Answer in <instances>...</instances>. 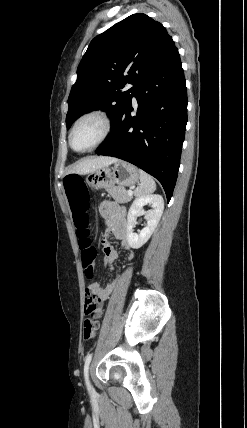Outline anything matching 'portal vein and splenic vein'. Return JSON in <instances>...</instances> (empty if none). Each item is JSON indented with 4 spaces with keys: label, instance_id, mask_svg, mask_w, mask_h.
Instances as JSON below:
<instances>
[{
    "label": "portal vein and splenic vein",
    "instance_id": "portal-vein-and-splenic-vein-1",
    "mask_svg": "<svg viewBox=\"0 0 247 428\" xmlns=\"http://www.w3.org/2000/svg\"><path fill=\"white\" fill-rule=\"evenodd\" d=\"M128 195L132 196L133 195V191L132 190H128L127 191Z\"/></svg>",
    "mask_w": 247,
    "mask_h": 428
}]
</instances>
